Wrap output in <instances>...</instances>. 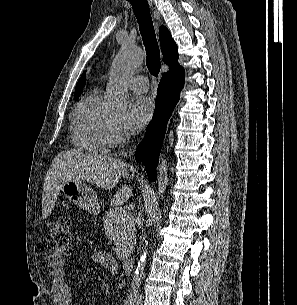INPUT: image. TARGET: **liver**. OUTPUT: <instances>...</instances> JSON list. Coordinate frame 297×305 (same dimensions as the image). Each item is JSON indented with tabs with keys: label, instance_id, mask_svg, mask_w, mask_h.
Masks as SVG:
<instances>
[{
	"label": "liver",
	"instance_id": "liver-1",
	"mask_svg": "<svg viewBox=\"0 0 297 305\" xmlns=\"http://www.w3.org/2000/svg\"><path fill=\"white\" fill-rule=\"evenodd\" d=\"M127 169L123 160L103 155L84 154L77 150L60 152L53 160L43 187L42 217L47 219L54 209L60 186L68 181L86 180L106 190L113 189ZM132 193L131 187L123 185L111 200L112 205L126 202Z\"/></svg>",
	"mask_w": 297,
	"mask_h": 305
}]
</instances>
